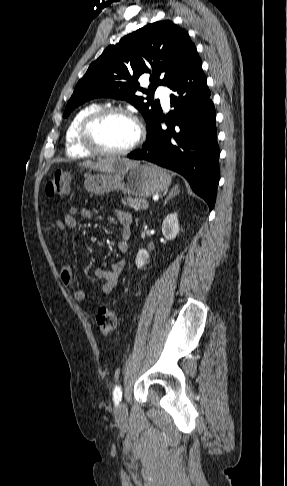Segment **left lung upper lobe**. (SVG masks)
Returning a JSON list of instances; mask_svg holds the SVG:
<instances>
[{"mask_svg":"<svg viewBox=\"0 0 287 486\" xmlns=\"http://www.w3.org/2000/svg\"><path fill=\"white\" fill-rule=\"evenodd\" d=\"M199 58L188 33L169 20L148 24L107 47L77 83L63 117L97 97L126 100L143 115L147 130L161 117L159 102L152 97L159 85L168 86ZM149 74L148 89L137 87ZM141 90L147 98L137 96ZM147 100V102L145 101Z\"/></svg>","mask_w":287,"mask_h":486,"instance_id":"1","label":"left lung upper lobe"}]
</instances>
